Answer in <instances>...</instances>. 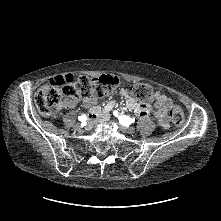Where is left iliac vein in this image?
Instances as JSON below:
<instances>
[{"label": "left iliac vein", "instance_id": "1", "mask_svg": "<svg viewBox=\"0 0 221 221\" xmlns=\"http://www.w3.org/2000/svg\"><path fill=\"white\" fill-rule=\"evenodd\" d=\"M122 132L124 133H133L135 131V128L130 126V127H121Z\"/></svg>", "mask_w": 221, "mask_h": 221}]
</instances>
